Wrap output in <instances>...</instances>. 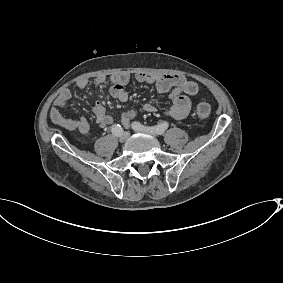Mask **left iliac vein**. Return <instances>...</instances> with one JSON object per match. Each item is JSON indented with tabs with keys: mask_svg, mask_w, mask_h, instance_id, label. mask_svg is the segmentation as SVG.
I'll return each mask as SVG.
<instances>
[{
	"mask_svg": "<svg viewBox=\"0 0 283 283\" xmlns=\"http://www.w3.org/2000/svg\"><path fill=\"white\" fill-rule=\"evenodd\" d=\"M132 128H133V130H135L136 132H140V133H144V134H152V133H149V132H147V131H143V130L137 129V128L133 127V126H132Z\"/></svg>",
	"mask_w": 283,
	"mask_h": 283,
	"instance_id": "obj_1",
	"label": "left iliac vein"
}]
</instances>
